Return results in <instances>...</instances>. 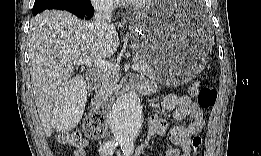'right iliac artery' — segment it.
Segmentation results:
<instances>
[{"label": "right iliac artery", "instance_id": "obj_1", "mask_svg": "<svg viewBox=\"0 0 261 156\" xmlns=\"http://www.w3.org/2000/svg\"><path fill=\"white\" fill-rule=\"evenodd\" d=\"M119 143V139H112L108 142L103 143L99 149L100 154L112 155Z\"/></svg>", "mask_w": 261, "mask_h": 156}]
</instances>
